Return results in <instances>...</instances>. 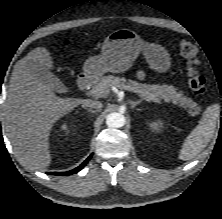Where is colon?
<instances>
[{
	"mask_svg": "<svg viewBox=\"0 0 222 219\" xmlns=\"http://www.w3.org/2000/svg\"><path fill=\"white\" fill-rule=\"evenodd\" d=\"M182 56L186 59V74L188 86L195 94H203L206 91V80L199 72V59L197 49L190 41L183 40L179 45Z\"/></svg>",
	"mask_w": 222,
	"mask_h": 219,
	"instance_id": "colon-1",
	"label": "colon"
}]
</instances>
